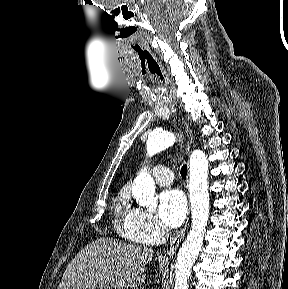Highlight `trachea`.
I'll use <instances>...</instances> for the list:
<instances>
[{"label":"trachea","mask_w":288,"mask_h":289,"mask_svg":"<svg viewBox=\"0 0 288 289\" xmlns=\"http://www.w3.org/2000/svg\"><path fill=\"white\" fill-rule=\"evenodd\" d=\"M138 58L141 63L142 69L145 70L157 83V93L163 95V92L160 89V82L164 80V74L161 70L156 58L149 50H140L138 52ZM181 176L183 179H186L187 176V166L184 164L181 168Z\"/></svg>","instance_id":"1"}]
</instances>
